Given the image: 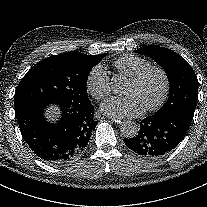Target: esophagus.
Returning <instances> with one entry per match:
<instances>
[{
  "label": "esophagus",
  "mask_w": 207,
  "mask_h": 207,
  "mask_svg": "<svg viewBox=\"0 0 207 207\" xmlns=\"http://www.w3.org/2000/svg\"><path fill=\"white\" fill-rule=\"evenodd\" d=\"M109 119L114 121L117 126H122L124 124V119L122 117H110Z\"/></svg>",
  "instance_id": "1"
}]
</instances>
